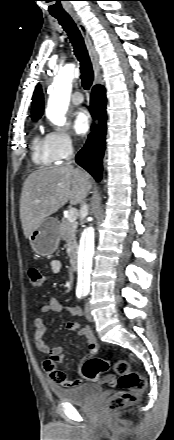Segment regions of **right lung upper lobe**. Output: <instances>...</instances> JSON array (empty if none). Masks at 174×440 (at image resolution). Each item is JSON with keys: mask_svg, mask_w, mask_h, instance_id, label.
<instances>
[{"mask_svg": "<svg viewBox=\"0 0 174 440\" xmlns=\"http://www.w3.org/2000/svg\"><path fill=\"white\" fill-rule=\"evenodd\" d=\"M44 108L43 94L40 85L34 91L32 98V119L37 120L41 117Z\"/></svg>", "mask_w": 174, "mask_h": 440, "instance_id": "cb5924a9", "label": "right lung upper lobe"}]
</instances>
